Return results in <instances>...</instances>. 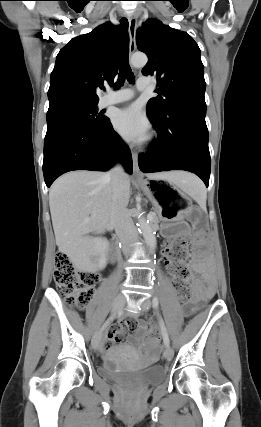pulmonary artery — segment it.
Listing matches in <instances>:
<instances>
[{
    "label": "pulmonary artery",
    "mask_w": 261,
    "mask_h": 427,
    "mask_svg": "<svg viewBox=\"0 0 261 427\" xmlns=\"http://www.w3.org/2000/svg\"><path fill=\"white\" fill-rule=\"evenodd\" d=\"M151 86V81L148 78L142 77L137 82L138 90H146ZM134 92L132 89H123L118 92L110 93L103 97L100 101L101 107H107L113 104L122 103L132 99Z\"/></svg>",
    "instance_id": "obj_1"
}]
</instances>
